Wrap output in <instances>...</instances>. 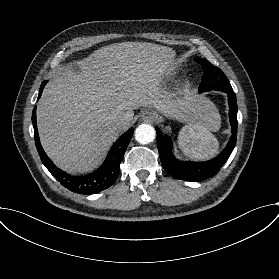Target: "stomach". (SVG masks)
<instances>
[{
	"label": "stomach",
	"mask_w": 279,
	"mask_h": 279,
	"mask_svg": "<svg viewBox=\"0 0 279 279\" xmlns=\"http://www.w3.org/2000/svg\"><path fill=\"white\" fill-rule=\"evenodd\" d=\"M163 114V113H162ZM163 115H165V114H163ZM160 116V115H159ZM166 116V115H165ZM163 121V117L162 116H160V122H162Z\"/></svg>",
	"instance_id": "1"
}]
</instances>
